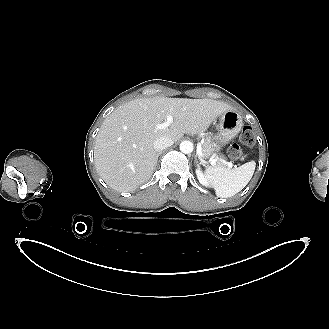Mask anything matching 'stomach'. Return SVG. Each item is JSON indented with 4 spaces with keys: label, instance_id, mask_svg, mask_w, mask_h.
<instances>
[{
    "label": "stomach",
    "instance_id": "stomach-1",
    "mask_svg": "<svg viewBox=\"0 0 329 329\" xmlns=\"http://www.w3.org/2000/svg\"><path fill=\"white\" fill-rule=\"evenodd\" d=\"M243 126V120L240 113L236 110H230L220 116L219 135L216 137L220 143L224 144L237 135Z\"/></svg>",
    "mask_w": 329,
    "mask_h": 329
}]
</instances>
